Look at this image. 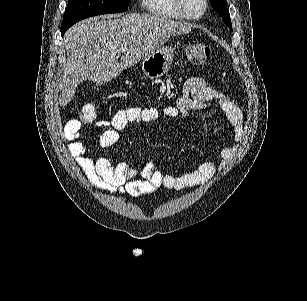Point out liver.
Masks as SVG:
<instances>
[{
  "instance_id": "1",
  "label": "liver",
  "mask_w": 307,
  "mask_h": 301,
  "mask_svg": "<svg viewBox=\"0 0 307 301\" xmlns=\"http://www.w3.org/2000/svg\"><path fill=\"white\" fill-rule=\"evenodd\" d=\"M93 16L73 24L63 36L67 62L60 84L59 104L66 106L83 80L105 84L178 34L191 32V22L168 16L130 12L119 18ZM128 46L118 62L116 48Z\"/></svg>"
}]
</instances>
